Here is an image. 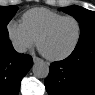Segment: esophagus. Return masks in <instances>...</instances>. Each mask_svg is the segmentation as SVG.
I'll list each match as a JSON object with an SVG mask.
<instances>
[{
	"instance_id": "34e87169",
	"label": "esophagus",
	"mask_w": 95,
	"mask_h": 95,
	"mask_svg": "<svg viewBox=\"0 0 95 95\" xmlns=\"http://www.w3.org/2000/svg\"><path fill=\"white\" fill-rule=\"evenodd\" d=\"M40 61H41L40 58H38V57H36V56H33V62H34V63H37V62H40Z\"/></svg>"
}]
</instances>
